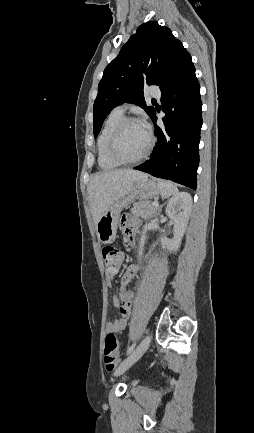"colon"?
<instances>
[{
  "mask_svg": "<svg viewBox=\"0 0 254 433\" xmlns=\"http://www.w3.org/2000/svg\"><path fill=\"white\" fill-rule=\"evenodd\" d=\"M102 258L108 274L118 272L121 264V251L115 247L106 246L102 249ZM119 341L116 334L109 330L105 334L104 363L107 371L112 372L119 364Z\"/></svg>",
  "mask_w": 254,
  "mask_h": 433,
  "instance_id": "obj_1",
  "label": "colon"
}]
</instances>
